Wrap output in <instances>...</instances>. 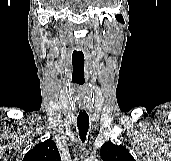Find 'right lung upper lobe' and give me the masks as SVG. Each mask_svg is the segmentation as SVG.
I'll use <instances>...</instances> for the list:
<instances>
[{
  "instance_id": "right-lung-upper-lobe-1",
  "label": "right lung upper lobe",
  "mask_w": 171,
  "mask_h": 161,
  "mask_svg": "<svg viewBox=\"0 0 171 161\" xmlns=\"http://www.w3.org/2000/svg\"><path fill=\"white\" fill-rule=\"evenodd\" d=\"M23 161H61V158L55 142L48 139L31 149Z\"/></svg>"
}]
</instances>
